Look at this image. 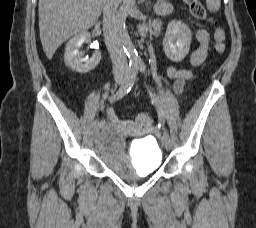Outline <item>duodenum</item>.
<instances>
[{"label": "duodenum", "mask_w": 256, "mask_h": 228, "mask_svg": "<svg viewBox=\"0 0 256 228\" xmlns=\"http://www.w3.org/2000/svg\"><path fill=\"white\" fill-rule=\"evenodd\" d=\"M149 29L148 27L146 26H142L139 30V32L142 34V35H146L148 33Z\"/></svg>", "instance_id": "duodenum-1"}]
</instances>
